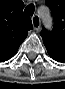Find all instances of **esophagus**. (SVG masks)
<instances>
[{"mask_svg":"<svg viewBox=\"0 0 65 89\" xmlns=\"http://www.w3.org/2000/svg\"><path fill=\"white\" fill-rule=\"evenodd\" d=\"M32 24L35 30H39L40 26H41V21H40V17L38 15H34L32 17Z\"/></svg>","mask_w":65,"mask_h":89,"instance_id":"obj_1","label":"esophagus"}]
</instances>
